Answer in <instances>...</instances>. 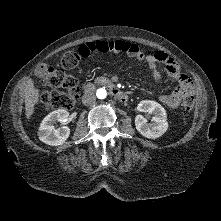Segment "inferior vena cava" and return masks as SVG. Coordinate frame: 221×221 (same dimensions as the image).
I'll list each match as a JSON object with an SVG mask.
<instances>
[{"mask_svg": "<svg viewBox=\"0 0 221 221\" xmlns=\"http://www.w3.org/2000/svg\"><path fill=\"white\" fill-rule=\"evenodd\" d=\"M96 97L92 92H87L82 97V102L86 106H91L95 104Z\"/></svg>", "mask_w": 221, "mask_h": 221, "instance_id": "602c4592", "label": "inferior vena cava"}]
</instances>
